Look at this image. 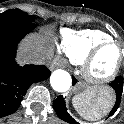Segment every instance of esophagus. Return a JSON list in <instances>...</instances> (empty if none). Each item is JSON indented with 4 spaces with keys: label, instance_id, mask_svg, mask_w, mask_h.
Returning a JSON list of instances; mask_svg holds the SVG:
<instances>
[{
    "label": "esophagus",
    "instance_id": "1",
    "mask_svg": "<svg viewBox=\"0 0 124 124\" xmlns=\"http://www.w3.org/2000/svg\"><path fill=\"white\" fill-rule=\"evenodd\" d=\"M59 66H60L59 61L57 59H55V60L52 61L51 65H50V68L55 69V68H57Z\"/></svg>",
    "mask_w": 124,
    "mask_h": 124
}]
</instances>
